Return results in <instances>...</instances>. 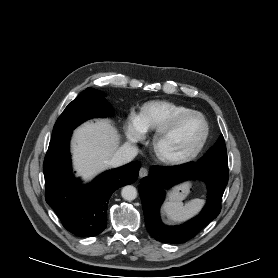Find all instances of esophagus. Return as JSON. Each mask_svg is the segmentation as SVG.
Instances as JSON below:
<instances>
[{
  "label": "esophagus",
  "instance_id": "1",
  "mask_svg": "<svg viewBox=\"0 0 278 278\" xmlns=\"http://www.w3.org/2000/svg\"><path fill=\"white\" fill-rule=\"evenodd\" d=\"M147 175H148V170L146 168L142 167L139 170V178L146 177Z\"/></svg>",
  "mask_w": 278,
  "mask_h": 278
}]
</instances>
